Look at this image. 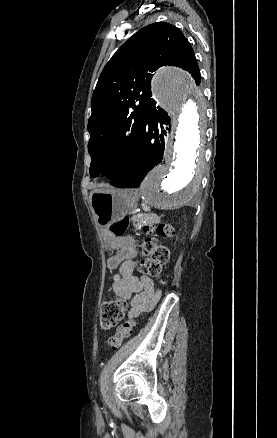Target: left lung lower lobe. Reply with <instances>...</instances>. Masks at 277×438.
<instances>
[{
  "instance_id": "0a47b994",
  "label": "left lung lower lobe",
  "mask_w": 277,
  "mask_h": 438,
  "mask_svg": "<svg viewBox=\"0 0 277 438\" xmlns=\"http://www.w3.org/2000/svg\"><path fill=\"white\" fill-rule=\"evenodd\" d=\"M170 118L156 101L147 106L142 133L134 156L124 173L110 184L122 188L139 187L141 181L163 159ZM169 126V127H167Z\"/></svg>"
}]
</instances>
